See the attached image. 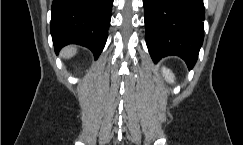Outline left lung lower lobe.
I'll return each mask as SVG.
<instances>
[{
	"mask_svg": "<svg viewBox=\"0 0 243 145\" xmlns=\"http://www.w3.org/2000/svg\"><path fill=\"white\" fill-rule=\"evenodd\" d=\"M146 44L157 63L162 57H181L191 69L204 38L203 0H143Z\"/></svg>",
	"mask_w": 243,
	"mask_h": 145,
	"instance_id": "obj_1",
	"label": "left lung lower lobe"
}]
</instances>
